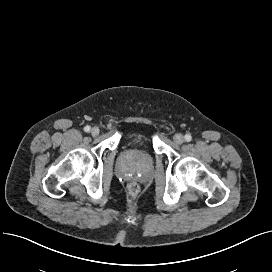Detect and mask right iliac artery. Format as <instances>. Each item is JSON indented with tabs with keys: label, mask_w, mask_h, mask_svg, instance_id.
Segmentation results:
<instances>
[{
	"label": "right iliac artery",
	"mask_w": 272,
	"mask_h": 272,
	"mask_svg": "<svg viewBox=\"0 0 272 272\" xmlns=\"http://www.w3.org/2000/svg\"><path fill=\"white\" fill-rule=\"evenodd\" d=\"M84 131H85V132H89V131H90V126H86V127L84 128Z\"/></svg>",
	"instance_id": "right-iliac-artery-1"
}]
</instances>
